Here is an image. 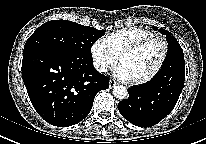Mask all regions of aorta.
<instances>
[{
	"mask_svg": "<svg viewBox=\"0 0 206 144\" xmlns=\"http://www.w3.org/2000/svg\"><path fill=\"white\" fill-rule=\"evenodd\" d=\"M113 95L119 100H124L128 97V91L124 86L118 85L114 87Z\"/></svg>",
	"mask_w": 206,
	"mask_h": 144,
	"instance_id": "aorta-1",
	"label": "aorta"
}]
</instances>
